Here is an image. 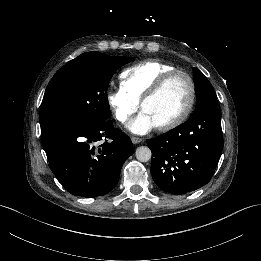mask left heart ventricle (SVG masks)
<instances>
[{"label": "left heart ventricle", "instance_id": "left-heart-ventricle-1", "mask_svg": "<svg viewBox=\"0 0 261 261\" xmlns=\"http://www.w3.org/2000/svg\"><path fill=\"white\" fill-rule=\"evenodd\" d=\"M190 97V88L183 75H176L162 92L146 103L143 111L147 112L156 123L163 125L181 114Z\"/></svg>", "mask_w": 261, "mask_h": 261}]
</instances>
